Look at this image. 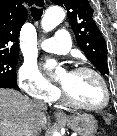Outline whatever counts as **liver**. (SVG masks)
I'll return each mask as SVG.
<instances>
[{
  "mask_svg": "<svg viewBox=\"0 0 117 136\" xmlns=\"http://www.w3.org/2000/svg\"><path fill=\"white\" fill-rule=\"evenodd\" d=\"M45 113L13 89H0V136H33L37 127H45Z\"/></svg>",
  "mask_w": 117,
  "mask_h": 136,
  "instance_id": "liver-1",
  "label": "liver"
}]
</instances>
